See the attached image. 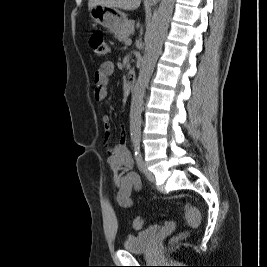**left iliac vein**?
<instances>
[{
    "instance_id": "4c4485c4",
    "label": "left iliac vein",
    "mask_w": 267,
    "mask_h": 267,
    "mask_svg": "<svg viewBox=\"0 0 267 267\" xmlns=\"http://www.w3.org/2000/svg\"><path fill=\"white\" fill-rule=\"evenodd\" d=\"M142 171H143L144 175L146 176V178L149 181H151V182H154L155 181L154 174L150 170L147 169V167L144 165V162H143Z\"/></svg>"
}]
</instances>
